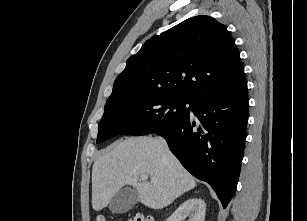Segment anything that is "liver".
Masks as SVG:
<instances>
[{"label":"liver","instance_id":"obj_1","mask_svg":"<svg viewBox=\"0 0 307 221\" xmlns=\"http://www.w3.org/2000/svg\"><path fill=\"white\" fill-rule=\"evenodd\" d=\"M142 174L155 181L140 180ZM125 185L136 189L142 204L157 210L195 188L196 181L163 139L144 136L126 138L96 159L92 168L93 209L105 208Z\"/></svg>","mask_w":307,"mask_h":221}]
</instances>
